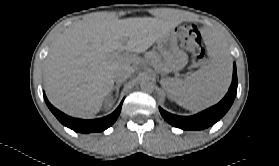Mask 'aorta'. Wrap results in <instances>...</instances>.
<instances>
[{
    "label": "aorta",
    "instance_id": "762f6f07",
    "mask_svg": "<svg viewBox=\"0 0 279 166\" xmlns=\"http://www.w3.org/2000/svg\"><path fill=\"white\" fill-rule=\"evenodd\" d=\"M141 90L145 92H152L154 89L153 82L149 78L142 79L140 83Z\"/></svg>",
    "mask_w": 279,
    "mask_h": 166
}]
</instances>
